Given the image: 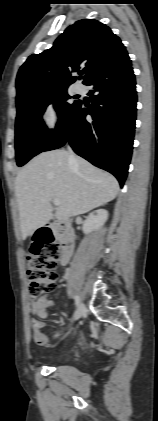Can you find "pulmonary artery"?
Listing matches in <instances>:
<instances>
[{"label":"pulmonary artery","mask_w":158,"mask_h":421,"mask_svg":"<svg viewBox=\"0 0 158 421\" xmlns=\"http://www.w3.org/2000/svg\"><path fill=\"white\" fill-rule=\"evenodd\" d=\"M84 91V88L81 84L77 83L74 85V92L75 93H82Z\"/></svg>","instance_id":"1"}]
</instances>
